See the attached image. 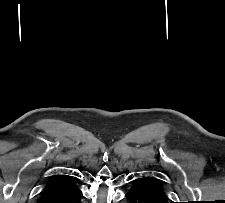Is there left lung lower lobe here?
I'll return each instance as SVG.
<instances>
[{
	"instance_id": "1",
	"label": "left lung lower lobe",
	"mask_w": 225,
	"mask_h": 203,
	"mask_svg": "<svg viewBox=\"0 0 225 203\" xmlns=\"http://www.w3.org/2000/svg\"><path fill=\"white\" fill-rule=\"evenodd\" d=\"M129 178L130 182L127 184L128 189L126 198L132 203H167L164 199L156 195L144 183L141 178Z\"/></svg>"
}]
</instances>
